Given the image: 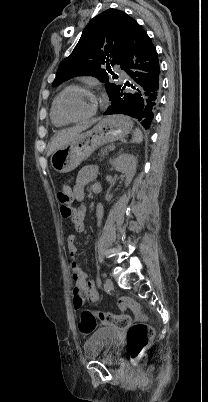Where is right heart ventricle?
<instances>
[{
  "mask_svg": "<svg viewBox=\"0 0 208 402\" xmlns=\"http://www.w3.org/2000/svg\"><path fill=\"white\" fill-rule=\"evenodd\" d=\"M50 119L52 124L56 128H63L71 124V122L65 121L61 118L59 113L57 112L56 105H55V100L52 103L51 110H50Z\"/></svg>",
  "mask_w": 208,
  "mask_h": 402,
  "instance_id": "right-heart-ventricle-1",
  "label": "right heart ventricle"
}]
</instances>
